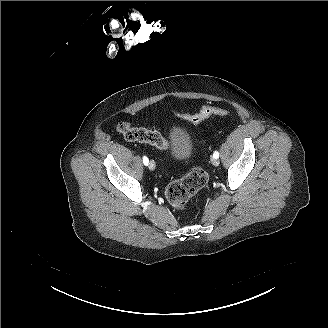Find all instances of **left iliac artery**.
I'll use <instances>...</instances> for the list:
<instances>
[{
	"mask_svg": "<svg viewBox=\"0 0 328 328\" xmlns=\"http://www.w3.org/2000/svg\"><path fill=\"white\" fill-rule=\"evenodd\" d=\"M213 157L214 158H219V153L217 151H215L214 154H213Z\"/></svg>",
	"mask_w": 328,
	"mask_h": 328,
	"instance_id": "left-iliac-artery-1",
	"label": "left iliac artery"
}]
</instances>
